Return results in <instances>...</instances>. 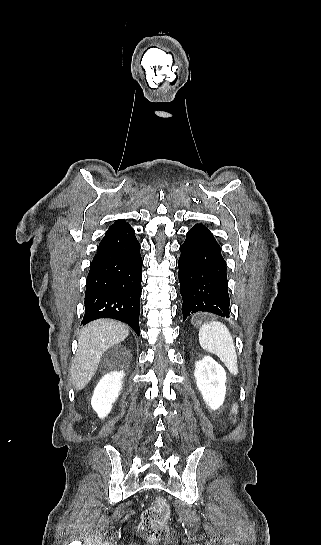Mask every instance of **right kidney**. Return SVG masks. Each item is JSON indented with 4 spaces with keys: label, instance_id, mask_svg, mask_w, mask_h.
<instances>
[{
    "label": "right kidney",
    "instance_id": "1",
    "mask_svg": "<svg viewBox=\"0 0 321 545\" xmlns=\"http://www.w3.org/2000/svg\"><path fill=\"white\" fill-rule=\"evenodd\" d=\"M123 371H112L99 381L91 399V405L98 417L103 419L110 413L122 387Z\"/></svg>",
    "mask_w": 321,
    "mask_h": 545
}]
</instances>
